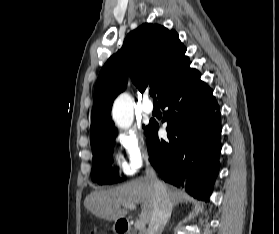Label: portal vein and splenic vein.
I'll use <instances>...</instances> for the list:
<instances>
[{"label":"portal vein and splenic vein","mask_w":279,"mask_h":234,"mask_svg":"<svg viewBox=\"0 0 279 234\" xmlns=\"http://www.w3.org/2000/svg\"><path fill=\"white\" fill-rule=\"evenodd\" d=\"M122 206L125 207V208H128V209H135L136 208V205L133 204V203H124V204H122ZM144 226H145V223L142 220H138L134 224V227L136 229H139V230L143 229Z\"/></svg>","instance_id":"portal-vein-and-splenic-vein-1"}]
</instances>
